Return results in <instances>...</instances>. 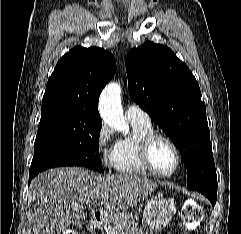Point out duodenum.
I'll list each match as a JSON object with an SVG mask.
<instances>
[{"mask_svg":"<svg viewBox=\"0 0 241 234\" xmlns=\"http://www.w3.org/2000/svg\"><path fill=\"white\" fill-rule=\"evenodd\" d=\"M103 222V215L100 211L94 212L91 216V219L88 223V228L91 231L97 230Z\"/></svg>","mask_w":241,"mask_h":234,"instance_id":"duodenum-1","label":"duodenum"}]
</instances>
